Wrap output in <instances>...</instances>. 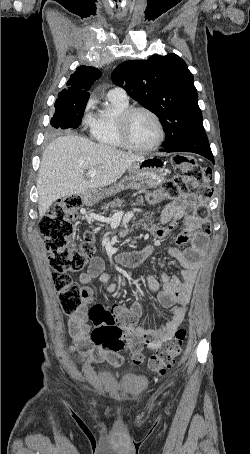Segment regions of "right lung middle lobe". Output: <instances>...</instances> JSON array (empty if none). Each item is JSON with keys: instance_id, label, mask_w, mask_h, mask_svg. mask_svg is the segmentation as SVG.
I'll return each instance as SVG.
<instances>
[{"instance_id": "right-lung-middle-lobe-1", "label": "right lung middle lobe", "mask_w": 250, "mask_h": 454, "mask_svg": "<svg viewBox=\"0 0 250 454\" xmlns=\"http://www.w3.org/2000/svg\"><path fill=\"white\" fill-rule=\"evenodd\" d=\"M87 102L67 103L55 102V113L51 118V126L54 128H77L82 120Z\"/></svg>"}]
</instances>
